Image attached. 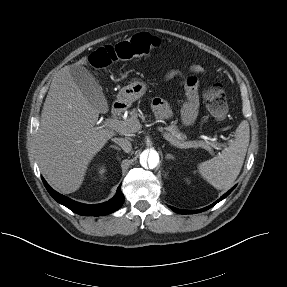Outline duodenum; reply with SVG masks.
<instances>
[{
  "label": "duodenum",
  "mask_w": 287,
  "mask_h": 287,
  "mask_svg": "<svg viewBox=\"0 0 287 287\" xmlns=\"http://www.w3.org/2000/svg\"><path fill=\"white\" fill-rule=\"evenodd\" d=\"M125 107L126 105L122 101L117 100L113 103L111 107V114L113 116H118L124 111Z\"/></svg>",
  "instance_id": "duodenum-1"
}]
</instances>
